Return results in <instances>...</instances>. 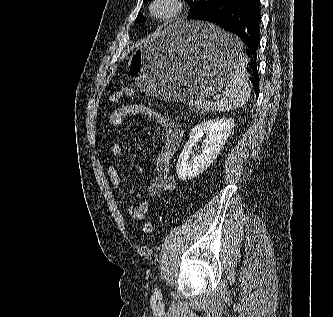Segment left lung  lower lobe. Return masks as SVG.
<instances>
[{"label":"left lung lower lobe","instance_id":"1","mask_svg":"<svg viewBox=\"0 0 333 317\" xmlns=\"http://www.w3.org/2000/svg\"><path fill=\"white\" fill-rule=\"evenodd\" d=\"M188 18L210 22L240 37L248 47L247 54L252 59L248 71L251 74V83L258 94L256 52L260 41V0H212L208 6ZM221 51L229 55L226 46L222 45Z\"/></svg>","mask_w":333,"mask_h":317}]
</instances>
